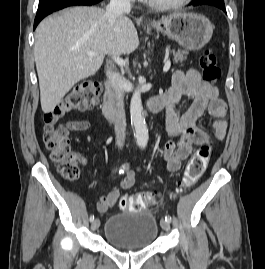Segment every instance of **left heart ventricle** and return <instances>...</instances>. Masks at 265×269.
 Instances as JSON below:
<instances>
[{"instance_id": "left-heart-ventricle-1", "label": "left heart ventricle", "mask_w": 265, "mask_h": 269, "mask_svg": "<svg viewBox=\"0 0 265 269\" xmlns=\"http://www.w3.org/2000/svg\"><path fill=\"white\" fill-rule=\"evenodd\" d=\"M156 1L167 2V1H176V0H156Z\"/></svg>"}]
</instances>
